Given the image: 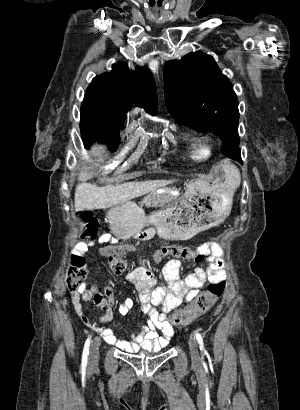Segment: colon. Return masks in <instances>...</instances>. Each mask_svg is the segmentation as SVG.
Masks as SVG:
<instances>
[{
    "label": "colon",
    "mask_w": 300,
    "mask_h": 410,
    "mask_svg": "<svg viewBox=\"0 0 300 410\" xmlns=\"http://www.w3.org/2000/svg\"><path fill=\"white\" fill-rule=\"evenodd\" d=\"M80 218L87 224L86 236L89 238H95L97 225L93 220L92 215L88 211H83L80 213ZM169 256L181 260L194 261L196 263H200L205 259V253L199 249L179 244L164 245L160 247L155 252L154 258L155 261L160 262ZM84 265V258L76 256L72 259L71 265L67 271L66 279L70 292H78L82 290L87 275V270ZM108 265L110 270L115 274H121L127 269L126 260L116 254L109 256ZM224 289L225 281L220 280L211 282L206 291L196 296L190 307L179 310L173 314V324L179 327L185 326L207 312L222 296Z\"/></svg>",
    "instance_id": "5ec220e1"
}]
</instances>
